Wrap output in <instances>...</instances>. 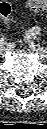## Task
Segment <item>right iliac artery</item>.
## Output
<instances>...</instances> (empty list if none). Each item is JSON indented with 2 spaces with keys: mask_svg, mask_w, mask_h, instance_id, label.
I'll return each mask as SVG.
<instances>
[{
  "mask_svg": "<svg viewBox=\"0 0 47 129\" xmlns=\"http://www.w3.org/2000/svg\"><path fill=\"white\" fill-rule=\"evenodd\" d=\"M0 44H1V45L6 44V40H5V38H1V39H0Z\"/></svg>",
  "mask_w": 47,
  "mask_h": 129,
  "instance_id": "82829eb1",
  "label": "right iliac artery"
}]
</instances>
